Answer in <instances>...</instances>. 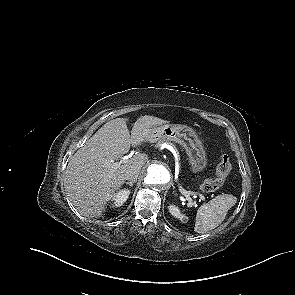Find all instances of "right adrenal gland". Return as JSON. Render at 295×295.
I'll return each instance as SVG.
<instances>
[{
	"mask_svg": "<svg viewBox=\"0 0 295 295\" xmlns=\"http://www.w3.org/2000/svg\"><path fill=\"white\" fill-rule=\"evenodd\" d=\"M135 182H136V181L126 182V185H129L130 187H133V184H134Z\"/></svg>",
	"mask_w": 295,
	"mask_h": 295,
	"instance_id": "1",
	"label": "right adrenal gland"
}]
</instances>
